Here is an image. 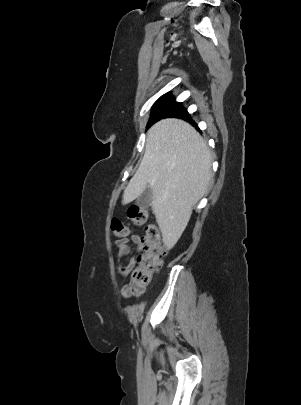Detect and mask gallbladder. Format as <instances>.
<instances>
[{
	"label": "gallbladder",
	"mask_w": 301,
	"mask_h": 405,
	"mask_svg": "<svg viewBox=\"0 0 301 405\" xmlns=\"http://www.w3.org/2000/svg\"><path fill=\"white\" fill-rule=\"evenodd\" d=\"M153 199L152 190L147 187L143 193L137 198L135 204L141 209L148 208L151 205Z\"/></svg>",
	"instance_id": "obj_1"
}]
</instances>
